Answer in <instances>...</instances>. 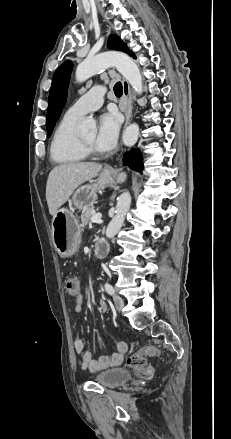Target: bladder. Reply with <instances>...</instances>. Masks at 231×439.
Wrapping results in <instances>:
<instances>
[{"label":"bladder","mask_w":231,"mask_h":439,"mask_svg":"<svg viewBox=\"0 0 231 439\" xmlns=\"http://www.w3.org/2000/svg\"><path fill=\"white\" fill-rule=\"evenodd\" d=\"M131 379V373L124 368H113L98 373L94 381L106 388L118 387Z\"/></svg>","instance_id":"31cf9c89"}]
</instances>
